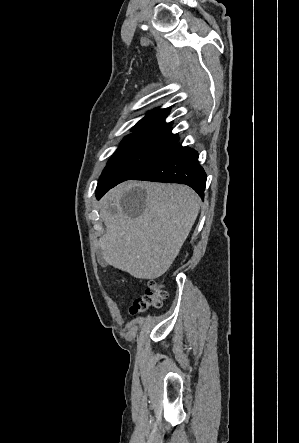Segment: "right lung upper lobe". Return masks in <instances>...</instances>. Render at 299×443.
<instances>
[{"label": "right lung upper lobe", "mask_w": 299, "mask_h": 443, "mask_svg": "<svg viewBox=\"0 0 299 443\" xmlns=\"http://www.w3.org/2000/svg\"><path fill=\"white\" fill-rule=\"evenodd\" d=\"M170 109H156L152 112H150L146 117H144L142 120H140L136 126L143 124V123H161L164 124L165 117L169 113ZM135 126V127H136Z\"/></svg>", "instance_id": "1"}]
</instances>
